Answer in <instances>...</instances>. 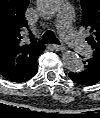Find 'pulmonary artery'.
I'll list each match as a JSON object with an SVG mask.
<instances>
[{"label":"pulmonary artery","mask_w":100,"mask_h":118,"mask_svg":"<svg viewBox=\"0 0 100 118\" xmlns=\"http://www.w3.org/2000/svg\"><path fill=\"white\" fill-rule=\"evenodd\" d=\"M59 33L73 49L83 55H90L91 47L89 44L74 31L72 27L73 10L71 6L65 5L59 11Z\"/></svg>","instance_id":"1"}]
</instances>
